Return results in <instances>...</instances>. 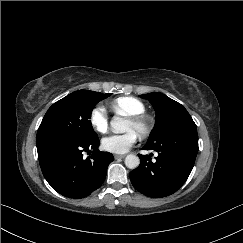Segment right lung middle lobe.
Wrapping results in <instances>:
<instances>
[{
	"label": "right lung middle lobe",
	"mask_w": 243,
	"mask_h": 243,
	"mask_svg": "<svg viewBox=\"0 0 243 243\" xmlns=\"http://www.w3.org/2000/svg\"><path fill=\"white\" fill-rule=\"evenodd\" d=\"M110 95L79 90L57 101L46 112L39 126L36 142L51 137L78 141L98 138L90 121L91 112L98 102Z\"/></svg>",
	"instance_id": "1"
}]
</instances>
